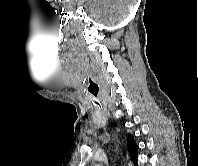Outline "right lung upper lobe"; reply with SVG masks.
Listing matches in <instances>:
<instances>
[{"label":"right lung upper lobe","instance_id":"cb5924a9","mask_svg":"<svg viewBox=\"0 0 198 166\" xmlns=\"http://www.w3.org/2000/svg\"><path fill=\"white\" fill-rule=\"evenodd\" d=\"M127 148H128V152L131 157V160L134 162V165L138 166V164H137L138 145L136 144V142L134 140V136H132L131 134L128 135Z\"/></svg>","mask_w":198,"mask_h":166}]
</instances>
